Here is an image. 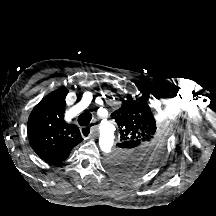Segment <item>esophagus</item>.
<instances>
[{
  "label": "esophagus",
  "instance_id": "esophagus-1",
  "mask_svg": "<svg viewBox=\"0 0 216 216\" xmlns=\"http://www.w3.org/2000/svg\"><path fill=\"white\" fill-rule=\"evenodd\" d=\"M81 131V134L82 136L85 138V139H89L91 138L92 136H94V127H91V126H85V127H82L80 129ZM88 134V135H86Z\"/></svg>",
  "mask_w": 216,
  "mask_h": 216
}]
</instances>
